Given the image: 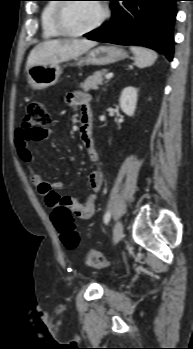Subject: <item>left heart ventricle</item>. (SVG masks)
Returning a JSON list of instances; mask_svg holds the SVG:
<instances>
[{"label": "left heart ventricle", "mask_w": 193, "mask_h": 349, "mask_svg": "<svg viewBox=\"0 0 193 349\" xmlns=\"http://www.w3.org/2000/svg\"><path fill=\"white\" fill-rule=\"evenodd\" d=\"M102 12L96 2H79L69 4L63 13V21L67 29L80 31L93 25Z\"/></svg>", "instance_id": "b2bd125f"}]
</instances>
